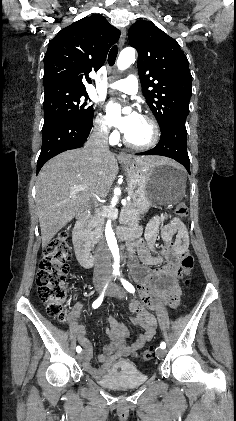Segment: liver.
Masks as SVG:
<instances>
[{"mask_svg":"<svg viewBox=\"0 0 236 421\" xmlns=\"http://www.w3.org/2000/svg\"><path fill=\"white\" fill-rule=\"evenodd\" d=\"M134 160L141 166L173 164L182 168L175 160L162 156H134ZM117 174L118 164L112 152H104L96 162L87 148L60 152L42 166L36 178V202L43 249L83 211L88 200L106 196ZM77 184L88 188L74 190Z\"/></svg>","mask_w":236,"mask_h":421,"instance_id":"liver-1","label":"liver"}]
</instances>
